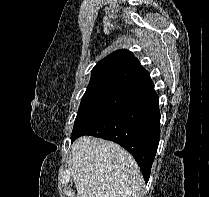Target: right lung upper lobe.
Segmentation results:
<instances>
[{"label":"right lung upper lobe","mask_w":209,"mask_h":197,"mask_svg":"<svg viewBox=\"0 0 209 197\" xmlns=\"http://www.w3.org/2000/svg\"><path fill=\"white\" fill-rule=\"evenodd\" d=\"M102 82L120 84L139 93L154 87L149 72L141 66L132 52L125 49L106 56L92 69L90 83Z\"/></svg>","instance_id":"cb5924a9"}]
</instances>
